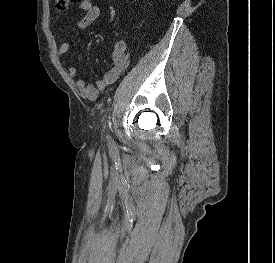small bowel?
Wrapping results in <instances>:
<instances>
[{"label":"small bowel","mask_w":275,"mask_h":263,"mask_svg":"<svg viewBox=\"0 0 275 263\" xmlns=\"http://www.w3.org/2000/svg\"><path fill=\"white\" fill-rule=\"evenodd\" d=\"M77 10L83 13V16L76 23L78 29L87 28L100 16L99 6L93 4L90 0H82ZM70 49V42H63L58 48V55L67 54ZM126 51V43L124 41H116L110 53V69L102 78L97 79L94 84H88L82 79L75 81V87L80 94L89 100H96L101 91L112 86L123 73L127 61ZM68 76L71 79H75L77 76V69L73 66L69 67Z\"/></svg>","instance_id":"obj_1"}]
</instances>
